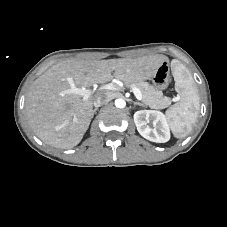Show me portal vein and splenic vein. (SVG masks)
Masks as SVG:
<instances>
[{"instance_id":"18ae733b","label":"portal vein and splenic vein","mask_w":227,"mask_h":227,"mask_svg":"<svg viewBox=\"0 0 227 227\" xmlns=\"http://www.w3.org/2000/svg\"><path fill=\"white\" fill-rule=\"evenodd\" d=\"M71 88L69 90L66 91L67 94H77L82 96L83 100H87L91 95H92V91L89 89H86L85 87L82 88H78L75 86L74 82L72 79H68ZM103 90H117L118 87L117 85L113 84V83H109L106 84L102 87ZM132 92L134 93L135 97L137 98V100H142V93L141 91L136 88V87H131Z\"/></svg>"}]
</instances>
